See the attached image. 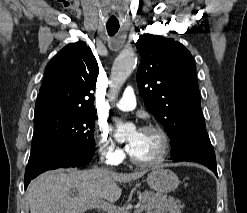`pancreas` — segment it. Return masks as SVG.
<instances>
[{
  "mask_svg": "<svg viewBox=\"0 0 247 213\" xmlns=\"http://www.w3.org/2000/svg\"><path fill=\"white\" fill-rule=\"evenodd\" d=\"M138 198L144 209L154 210V213H181L184 208L180 200L152 191L138 192Z\"/></svg>",
  "mask_w": 247,
  "mask_h": 213,
  "instance_id": "pancreas-1",
  "label": "pancreas"
}]
</instances>
